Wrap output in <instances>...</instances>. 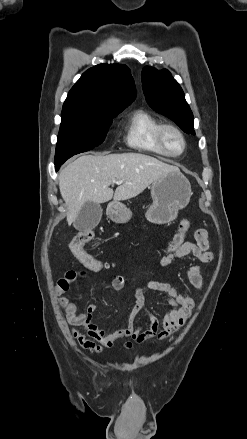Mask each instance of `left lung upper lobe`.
<instances>
[{
  "mask_svg": "<svg viewBox=\"0 0 247 439\" xmlns=\"http://www.w3.org/2000/svg\"><path fill=\"white\" fill-rule=\"evenodd\" d=\"M142 87L152 109L169 117L184 132L195 134L192 111L183 90L168 70L146 66L142 70Z\"/></svg>",
  "mask_w": 247,
  "mask_h": 439,
  "instance_id": "5c2ea615",
  "label": "left lung upper lobe"
}]
</instances>
